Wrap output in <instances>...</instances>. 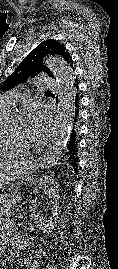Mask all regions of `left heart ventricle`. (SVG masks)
<instances>
[{"instance_id":"b2bd125f","label":"left heart ventricle","mask_w":118,"mask_h":269,"mask_svg":"<svg viewBox=\"0 0 118 269\" xmlns=\"http://www.w3.org/2000/svg\"><path fill=\"white\" fill-rule=\"evenodd\" d=\"M12 130L15 134H17L23 138L30 137L27 133L26 122H25V119L23 117H18L13 121Z\"/></svg>"}]
</instances>
